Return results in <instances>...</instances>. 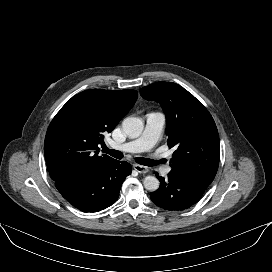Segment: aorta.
<instances>
[{
	"label": "aorta",
	"instance_id": "aorta-1",
	"mask_svg": "<svg viewBox=\"0 0 272 272\" xmlns=\"http://www.w3.org/2000/svg\"><path fill=\"white\" fill-rule=\"evenodd\" d=\"M122 127L128 136L137 137L142 133L144 124L142 120L137 117H127L124 119ZM143 184L148 191H155L159 188V180L154 176H146L143 180Z\"/></svg>",
	"mask_w": 272,
	"mask_h": 272
}]
</instances>
